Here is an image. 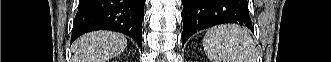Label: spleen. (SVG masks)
<instances>
[{"label":"spleen","instance_id":"1","mask_svg":"<svg viewBox=\"0 0 331 62\" xmlns=\"http://www.w3.org/2000/svg\"><path fill=\"white\" fill-rule=\"evenodd\" d=\"M203 47L211 62H254L256 58L251 36L234 24L208 30L203 39Z\"/></svg>","mask_w":331,"mask_h":62}]
</instances>
